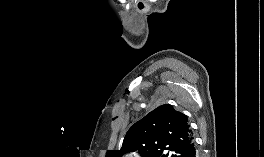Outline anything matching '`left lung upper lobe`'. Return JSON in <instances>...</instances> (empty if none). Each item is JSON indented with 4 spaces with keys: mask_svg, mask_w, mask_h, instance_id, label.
Returning <instances> with one entry per match:
<instances>
[{
    "mask_svg": "<svg viewBox=\"0 0 264 157\" xmlns=\"http://www.w3.org/2000/svg\"><path fill=\"white\" fill-rule=\"evenodd\" d=\"M192 142L187 116L164 104L133 124L121 149L108 150L106 157L126 152H138L141 157H185Z\"/></svg>",
    "mask_w": 264,
    "mask_h": 157,
    "instance_id": "1",
    "label": "left lung upper lobe"
}]
</instances>
